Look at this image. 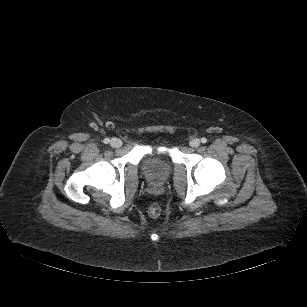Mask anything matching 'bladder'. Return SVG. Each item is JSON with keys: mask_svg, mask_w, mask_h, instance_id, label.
Returning <instances> with one entry per match:
<instances>
[{"mask_svg": "<svg viewBox=\"0 0 307 307\" xmlns=\"http://www.w3.org/2000/svg\"><path fill=\"white\" fill-rule=\"evenodd\" d=\"M155 140L165 143L167 138L158 136L155 138ZM171 170L172 165L169 160V152L165 144H162V148L149 154L144 159V174L146 178L153 183L162 182L167 179L171 173Z\"/></svg>", "mask_w": 307, "mask_h": 307, "instance_id": "31cf9c89", "label": "bladder"}]
</instances>
